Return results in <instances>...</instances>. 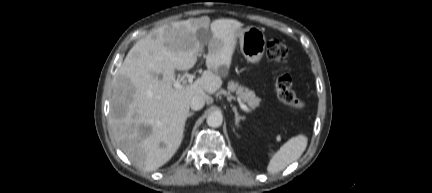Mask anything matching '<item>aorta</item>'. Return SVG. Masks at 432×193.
<instances>
[{
    "label": "aorta",
    "instance_id": "1",
    "mask_svg": "<svg viewBox=\"0 0 432 193\" xmlns=\"http://www.w3.org/2000/svg\"><path fill=\"white\" fill-rule=\"evenodd\" d=\"M208 126L217 128L223 123V116L220 112H211L206 119Z\"/></svg>",
    "mask_w": 432,
    "mask_h": 193
}]
</instances>
